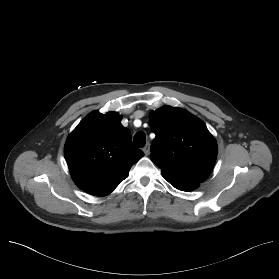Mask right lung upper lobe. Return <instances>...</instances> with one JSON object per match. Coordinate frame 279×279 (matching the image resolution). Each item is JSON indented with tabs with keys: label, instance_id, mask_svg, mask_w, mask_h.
I'll return each instance as SVG.
<instances>
[{
	"label": "right lung upper lobe",
	"instance_id": "1",
	"mask_svg": "<svg viewBox=\"0 0 279 279\" xmlns=\"http://www.w3.org/2000/svg\"><path fill=\"white\" fill-rule=\"evenodd\" d=\"M64 155L76 185L106 196L128 176L144 153L132 145L131 132L116 112L88 114L69 135Z\"/></svg>",
	"mask_w": 279,
	"mask_h": 279
}]
</instances>
